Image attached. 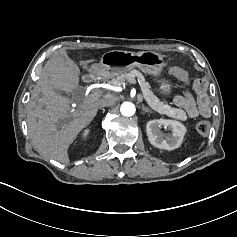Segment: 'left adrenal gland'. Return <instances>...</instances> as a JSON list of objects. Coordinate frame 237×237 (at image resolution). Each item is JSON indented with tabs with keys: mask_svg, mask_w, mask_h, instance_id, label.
<instances>
[{
	"mask_svg": "<svg viewBox=\"0 0 237 237\" xmlns=\"http://www.w3.org/2000/svg\"><path fill=\"white\" fill-rule=\"evenodd\" d=\"M141 109L143 110V112L147 113V112H152L149 108L145 107L144 104L141 105Z\"/></svg>",
	"mask_w": 237,
	"mask_h": 237,
	"instance_id": "a2214340",
	"label": "left adrenal gland"
}]
</instances>
